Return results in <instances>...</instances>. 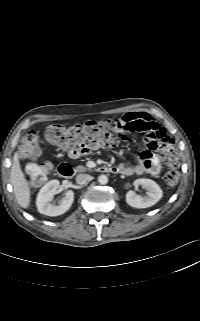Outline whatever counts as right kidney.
Listing matches in <instances>:
<instances>
[{
    "label": "right kidney",
    "mask_w": 200,
    "mask_h": 321,
    "mask_svg": "<svg viewBox=\"0 0 200 321\" xmlns=\"http://www.w3.org/2000/svg\"><path fill=\"white\" fill-rule=\"evenodd\" d=\"M60 183L58 180H51L46 183L39 191L36 205L41 214L47 216H59L64 214L74 201V192L69 190L58 205L51 203L52 198L58 193Z\"/></svg>",
    "instance_id": "ca27d5eb"
}]
</instances>
